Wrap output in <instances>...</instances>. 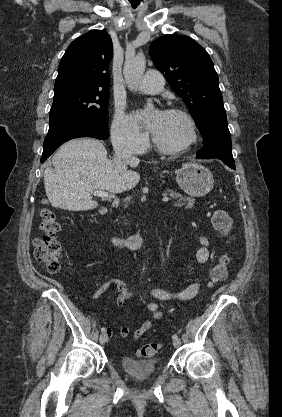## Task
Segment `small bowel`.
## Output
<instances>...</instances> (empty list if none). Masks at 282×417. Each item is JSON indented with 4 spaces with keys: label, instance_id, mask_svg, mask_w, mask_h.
<instances>
[{
    "label": "small bowel",
    "instance_id": "c3829d8e",
    "mask_svg": "<svg viewBox=\"0 0 282 417\" xmlns=\"http://www.w3.org/2000/svg\"><path fill=\"white\" fill-rule=\"evenodd\" d=\"M199 247L196 251V261L199 264H206L210 257L209 241L207 237L200 235L198 237ZM109 287H114L117 295V303L121 306L125 300L130 287L122 280L113 278L104 282L93 294L92 299H97L103 294ZM201 284L195 281L189 284L187 287L179 290H168L163 288H153L151 290V296L161 301H188L197 296L199 293ZM148 309L153 313V318L158 320L162 317V313L158 310L157 305L154 302L148 303ZM152 325L151 321H146L142 326L132 333L133 339L140 338ZM104 333L108 337H120L126 338L130 335V328L126 324H122L117 335L114 334L110 327L104 329Z\"/></svg>",
    "mask_w": 282,
    "mask_h": 417
}]
</instances>
